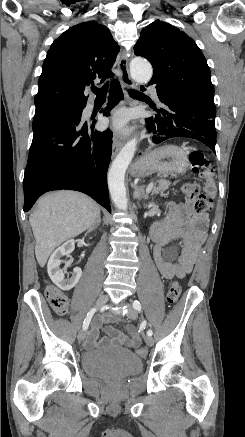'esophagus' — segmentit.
Listing matches in <instances>:
<instances>
[{
	"label": "esophagus",
	"mask_w": 245,
	"mask_h": 437,
	"mask_svg": "<svg viewBox=\"0 0 245 437\" xmlns=\"http://www.w3.org/2000/svg\"><path fill=\"white\" fill-rule=\"evenodd\" d=\"M118 69L124 86L127 89L134 88L135 84L130 77L129 70H128V59L124 55V51H122L118 56ZM127 100L130 103L131 100L129 97H127ZM121 147H122V141L116 138L112 146V157L116 156V154L120 151Z\"/></svg>",
	"instance_id": "obj_1"
}]
</instances>
